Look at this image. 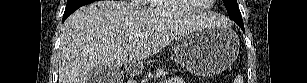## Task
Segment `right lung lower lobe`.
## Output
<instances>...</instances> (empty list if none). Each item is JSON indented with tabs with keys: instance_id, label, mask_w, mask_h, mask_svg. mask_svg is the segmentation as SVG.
I'll list each match as a JSON object with an SVG mask.
<instances>
[{
	"instance_id": "1",
	"label": "right lung lower lobe",
	"mask_w": 307,
	"mask_h": 83,
	"mask_svg": "<svg viewBox=\"0 0 307 83\" xmlns=\"http://www.w3.org/2000/svg\"><path fill=\"white\" fill-rule=\"evenodd\" d=\"M79 7L76 8H71L69 10H65L64 15H63V21L70 15L72 14L76 9H78Z\"/></svg>"
}]
</instances>
